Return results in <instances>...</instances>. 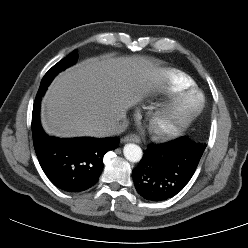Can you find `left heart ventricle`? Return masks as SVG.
I'll return each mask as SVG.
<instances>
[{
  "label": "left heart ventricle",
  "mask_w": 248,
  "mask_h": 248,
  "mask_svg": "<svg viewBox=\"0 0 248 248\" xmlns=\"http://www.w3.org/2000/svg\"><path fill=\"white\" fill-rule=\"evenodd\" d=\"M198 101V97L194 98L188 105H193Z\"/></svg>",
  "instance_id": "left-heart-ventricle-1"
}]
</instances>
